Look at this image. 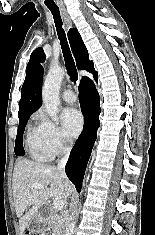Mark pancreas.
Here are the masks:
<instances>
[{"mask_svg":"<svg viewBox=\"0 0 155 235\" xmlns=\"http://www.w3.org/2000/svg\"><path fill=\"white\" fill-rule=\"evenodd\" d=\"M47 224L52 228L55 235H62V230L64 228V218L63 215L57 213L56 209L51 210L47 219Z\"/></svg>","mask_w":155,"mask_h":235,"instance_id":"pancreas-1","label":"pancreas"}]
</instances>
